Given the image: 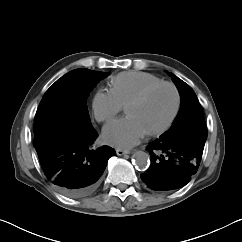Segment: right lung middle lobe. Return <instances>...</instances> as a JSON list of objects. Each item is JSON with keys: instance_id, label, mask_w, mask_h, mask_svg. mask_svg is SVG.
I'll list each match as a JSON object with an SVG mask.
<instances>
[{"instance_id": "right-lung-middle-lobe-1", "label": "right lung middle lobe", "mask_w": 242, "mask_h": 242, "mask_svg": "<svg viewBox=\"0 0 242 242\" xmlns=\"http://www.w3.org/2000/svg\"><path fill=\"white\" fill-rule=\"evenodd\" d=\"M108 73L75 69L58 79L44 94L37 109L34 132L51 125H90L86 99Z\"/></svg>"}]
</instances>
